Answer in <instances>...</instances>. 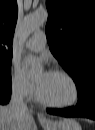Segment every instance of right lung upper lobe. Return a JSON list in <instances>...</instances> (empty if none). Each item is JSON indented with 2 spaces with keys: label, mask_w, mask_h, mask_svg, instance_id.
I'll return each mask as SVG.
<instances>
[{
  "label": "right lung upper lobe",
  "mask_w": 95,
  "mask_h": 130,
  "mask_svg": "<svg viewBox=\"0 0 95 130\" xmlns=\"http://www.w3.org/2000/svg\"><path fill=\"white\" fill-rule=\"evenodd\" d=\"M17 13L16 0H0V58H12Z\"/></svg>",
  "instance_id": "1"
}]
</instances>
